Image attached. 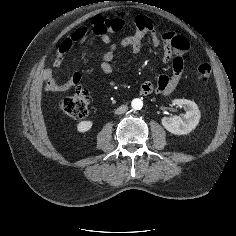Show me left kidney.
I'll use <instances>...</instances> for the list:
<instances>
[{"label":"left kidney","instance_id":"obj_1","mask_svg":"<svg viewBox=\"0 0 236 236\" xmlns=\"http://www.w3.org/2000/svg\"><path fill=\"white\" fill-rule=\"evenodd\" d=\"M173 105L183 107L186 113L181 116L163 117L164 128L175 135L190 133L199 124L201 115L197 104L191 100L176 99Z\"/></svg>","mask_w":236,"mask_h":236}]
</instances>
